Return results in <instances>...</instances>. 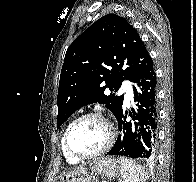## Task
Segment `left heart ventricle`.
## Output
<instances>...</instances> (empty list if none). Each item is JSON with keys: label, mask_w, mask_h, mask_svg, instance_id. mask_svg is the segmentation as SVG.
Returning <instances> with one entry per match:
<instances>
[{"label": "left heart ventricle", "mask_w": 196, "mask_h": 182, "mask_svg": "<svg viewBox=\"0 0 196 182\" xmlns=\"http://www.w3.org/2000/svg\"><path fill=\"white\" fill-rule=\"evenodd\" d=\"M106 140L104 124L94 118L79 122L72 130L69 138L71 149L82 155H88L99 150Z\"/></svg>", "instance_id": "left-heart-ventricle-1"}]
</instances>
